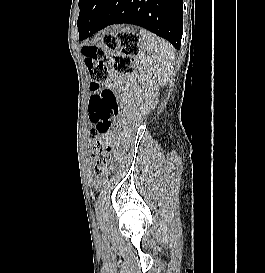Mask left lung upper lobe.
Segmentation results:
<instances>
[{
    "instance_id": "obj_1",
    "label": "left lung upper lobe",
    "mask_w": 265,
    "mask_h": 273,
    "mask_svg": "<svg viewBox=\"0 0 265 273\" xmlns=\"http://www.w3.org/2000/svg\"><path fill=\"white\" fill-rule=\"evenodd\" d=\"M102 0H79L80 13L77 21L78 30L84 15ZM119 1V0H117Z\"/></svg>"
}]
</instances>
